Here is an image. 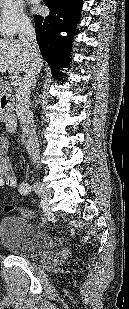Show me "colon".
Masks as SVG:
<instances>
[{
	"label": "colon",
	"mask_w": 129,
	"mask_h": 309,
	"mask_svg": "<svg viewBox=\"0 0 129 309\" xmlns=\"http://www.w3.org/2000/svg\"><path fill=\"white\" fill-rule=\"evenodd\" d=\"M7 211H14L16 210L19 214H21L22 216L26 217V218H33L34 217V213L28 209H23V208H14L12 206H8L6 208Z\"/></svg>",
	"instance_id": "colon-1"
}]
</instances>
